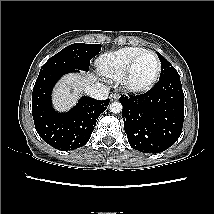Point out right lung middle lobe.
<instances>
[{
  "label": "right lung middle lobe",
  "mask_w": 214,
  "mask_h": 214,
  "mask_svg": "<svg viewBox=\"0 0 214 214\" xmlns=\"http://www.w3.org/2000/svg\"><path fill=\"white\" fill-rule=\"evenodd\" d=\"M101 50L100 44L75 43L52 56L40 72L49 69L89 70L90 60Z\"/></svg>",
  "instance_id": "obj_1"
}]
</instances>
